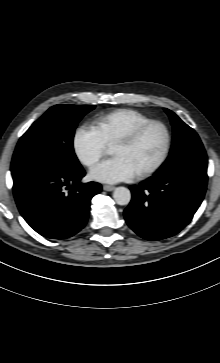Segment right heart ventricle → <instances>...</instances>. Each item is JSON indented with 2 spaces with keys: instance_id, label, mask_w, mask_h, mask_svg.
<instances>
[{
  "instance_id": "e07e8e85",
  "label": "right heart ventricle",
  "mask_w": 220,
  "mask_h": 363,
  "mask_svg": "<svg viewBox=\"0 0 220 363\" xmlns=\"http://www.w3.org/2000/svg\"><path fill=\"white\" fill-rule=\"evenodd\" d=\"M150 120V117L135 109H117L100 116L96 120V129L105 143L111 145L125 133Z\"/></svg>"
}]
</instances>
